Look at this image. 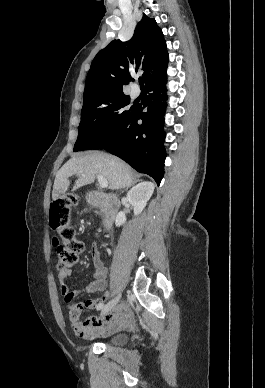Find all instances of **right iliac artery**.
<instances>
[{"label":"right iliac artery","mask_w":265,"mask_h":388,"mask_svg":"<svg viewBox=\"0 0 265 388\" xmlns=\"http://www.w3.org/2000/svg\"><path fill=\"white\" fill-rule=\"evenodd\" d=\"M103 306H104V304H101V305H99V306L97 307V310H100V309H102V308H103Z\"/></svg>","instance_id":"1"}]
</instances>
